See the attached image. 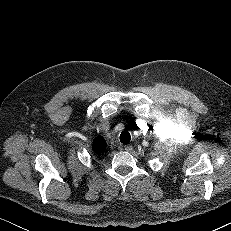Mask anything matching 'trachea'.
Segmentation results:
<instances>
[{"label": "trachea", "instance_id": "3493384b", "mask_svg": "<svg viewBox=\"0 0 231 231\" xmlns=\"http://www.w3.org/2000/svg\"><path fill=\"white\" fill-rule=\"evenodd\" d=\"M130 140H131V135L128 131L125 130V131L121 132V134H120L121 143L128 144L130 142Z\"/></svg>", "mask_w": 231, "mask_h": 231}]
</instances>
